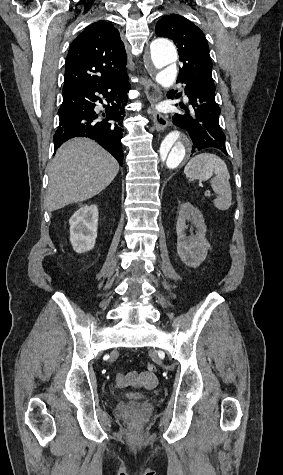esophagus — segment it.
<instances>
[{"label":"esophagus","instance_id":"34e87169","mask_svg":"<svg viewBox=\"0 0 283 475\" xmlns=\"http://www.w3.org/2000/svg\"><path fill=\"white\" fill-rule=\"evenodd\" d=\"M145 93L148 101L151 104L150 113L153 115L154 127L157 131L165 130L168 127V119L165 115L158 112L155 108L157 102L162 99V93L158 85L152 80L145 82Z\"/></svg>","mask_w":283,"mask_h":475}]
</instances>
